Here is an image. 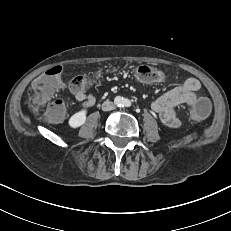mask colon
I'll return each mask as SVG.
<instances>
[{
	"label": "colon",
	"mask_w": 231,
	"mask_h": 231,
	"mask_svg": "<svg viewBox=\"0 0 231 231\" xmlns=\"http://www.w3.org/2000/svg\"><path fill=\"white\" fill-rule=\"evenodd\" d=\"M62 66H54L47 70L46 74L38 77L33 82V89L37 92L34 99L35 104H39L42 98L50 97L55 91L59 90L62 86V79L60 77L62 73ZM115 70V69H114ZM134 78L144 84L150 85L153 83L162 84L166 81L167 76L164 72L152 68L150 66L142 65L133 69ZM103 74V70L97 69L94 71L91 77L77 76L75 77L70 87L74 91H84L88 89L97 79ZM213 107L207 97L201 96L196 99V102L192 105L191 112L196 120H207L212 113ZM66 113V105L62 100H54L47 108L46 117L50 121L61 120Z\"/></svg>",
	"instance_id": "obj_1"
}]
</instances>
